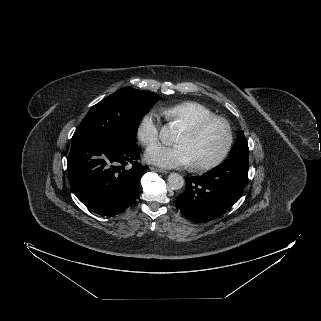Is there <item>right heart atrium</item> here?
I'll list each match as a JSON object with an SVG mask.
<instances>
[{
	"instance_id": "d8ad5b80",
	"label": "right heart atrium",
	"mask_w": 321,
	"mask_h": 321,
	"mask_svg": "<svg viewBox=\"0 0 321 321\" xmlns=\"http://www.w3.org/2000/svg\"><path fill=\"white\" fill-rule=\"evenodd\" d=\"M137 137L145 146L151 145L159 139L160 125L156 111H150L141 118L137 127Z\"/></svg>"
}]
</instances>
